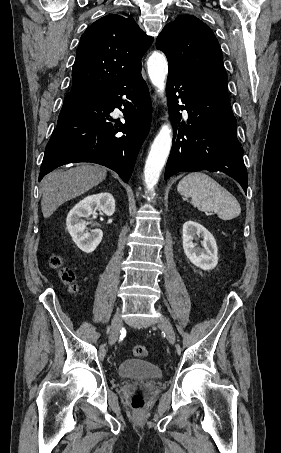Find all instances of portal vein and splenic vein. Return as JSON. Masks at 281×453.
Wrapping results in <instances>:
<instances>
[{
	"label": "portal vein and splenic vein",
	"instance_id": "18ae733b",
	"mask_svg": "<svg viewBox=\"0 0 281 453\" xmlns=\"http://www.w3.org/2000/svg\"><path fill=\"white\" fill-rule=\"evenodd\" d=\"M202 213L206 215V217H209L212 213L208 212L207 210H202Z\"/></svg>",
	"mask_w": 281,
	"mask_h": 453
}]
</instances>
